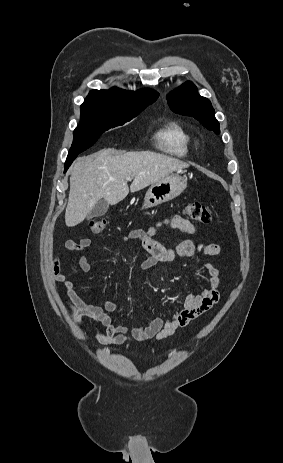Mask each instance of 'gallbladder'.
<instances>
[{"label":"gallbladder","mask_w":283,"mask_h":463,"mask_svg":"<svg viewBox=\"0 0 283 463\" xmlns=\"http://www.w3.org/2000/svg\"><path fill=\"white\" fill-rule=\"evenodd\" d=\"M108 208L109 203L106 200H99L92 208V210L88 213L87 219L90 220L95 217L103 216L108 211Z\"/></svg>","instance_id":"bac80fb5"}]
</instances>
